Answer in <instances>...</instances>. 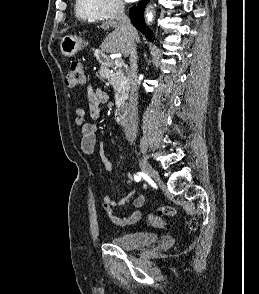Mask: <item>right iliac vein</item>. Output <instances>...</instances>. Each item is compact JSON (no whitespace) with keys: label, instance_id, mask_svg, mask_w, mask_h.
<instances>
[{"label":"right iliac vein","instance_id":"right-iliac-vein-1","mask_svg":"<svg viewBox=\"0 0 259 294\" xmlns=\"http://www.w3.org/2000/svg\"><path fill=\"white\" fill-rule=\"evenodd\" d=\"M139 165L141 170L152 179H158L157 171L144 159L139 158Z\"/></svg>","mask_w":259,"mask_h":294}]
</instances>
